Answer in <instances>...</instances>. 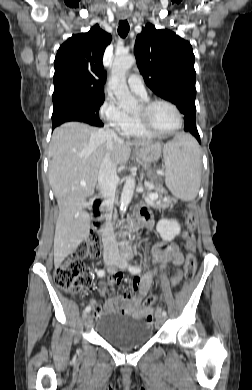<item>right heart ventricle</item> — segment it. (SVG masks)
<instances>
[{
    "label": "right heart ventricle",
    "instance_id": "right-heart-ventricle-1",
    "mask_svg": "<svg viewBox=\"0 0 252 390\" xmlns=\"http://www.w3.org/2000/svg\"><path fill=\"white\" fill-rule=\"evenodd\" d=\"M131 138L139 139V140H148L151 139L153 136L145 133L140 127L136 120V118H132V129L129 133V136Z\"/></svg>",
    "mask_w": 252,
    "mask_h": 390
}]
</instances>
